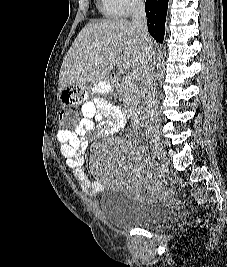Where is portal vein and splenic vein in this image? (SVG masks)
<instances>
[{
  "label": "portal vein and splenic vein",
  "instance_id": "portal-vein-and-splenic-vein-1",
  "mask_svg": "<svg viewBox=\"0 0 227 267\" xmlns=\"http://www.w3.org/2000/svg\"><path fill=\"white\" fill-rule=\"evenodd\" d=\"M125 78L129 85H133L137 79V76L134 73H127Z\"/></svg>",
  "mask_w": 227,
  "mask_h": 267
}]
</instances>
